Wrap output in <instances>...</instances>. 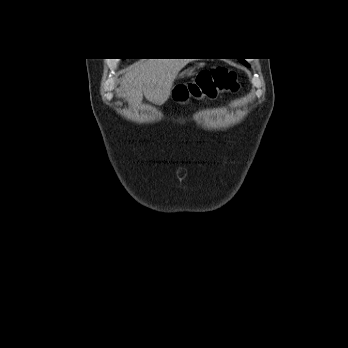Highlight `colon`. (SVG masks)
<instances>
[{"instance_id": "1", "label": "colon", "mask_w": 348, "mask_h": 348, "mask_svg": "<svg viewBox=\"0 0 348 348\" xmlns=\"http://www.w3.org/2000/svg\"><path fill=\"white\" fill-rule=\"evenodd\" d=\"M240 86L236 71L217 66L201 71L195 81L181 85L174 91V97L178 101H186L191 98H214L221 94L235 93Z\"/></svg>"}]
</instances>
